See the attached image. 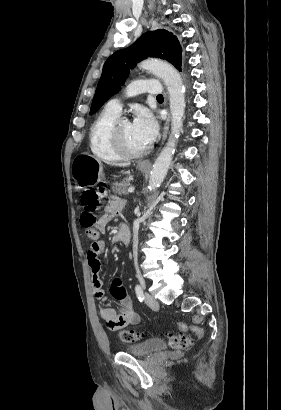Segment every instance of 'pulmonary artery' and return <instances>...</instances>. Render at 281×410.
Here are the masks:
<instances>
[{
    "instance_id": "1",
    "label": "pulmonary artery",
    "mask_w": 281,
    "mask_h": 410,
    "mask_svg": "<svg viewBox=\"0 0 281 410\" xmlns=\"http://www.w3.org/2000/svg\"><path fill=\"white\" fill-rule=\"evenodd\" d=\"M162 91L163 89L157 81L148 79H140L133 81L128 86V93L130 95L143 92H148L151 94H160ZM107 107L120 113L122 108L121 100L119 98L112 99L107 103Z\"/></svg>"
}]
</instances>
